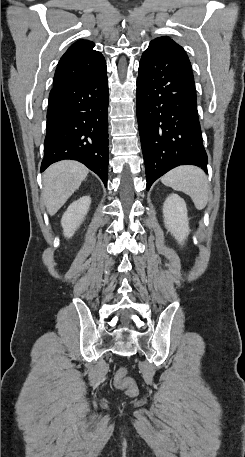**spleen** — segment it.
Here are the masks:
<instances>
[{"label":"spleen","mask_w":245,"mask_h":457,"mask_svg":"<svg viewBox=\"0 0 245 457\" xmlns=\"http://www.w3.org/2000/svg\"><path fill=\"white\" fill-rule=\"evenodd\" d=\"M163 184L172 186L174 190H182L191 196L196 208H205L209 200V186L207 176L199 166L185 164L169 170L161 178Z\"/></svg>","instance_id":"obj_1"}]
</instances>
